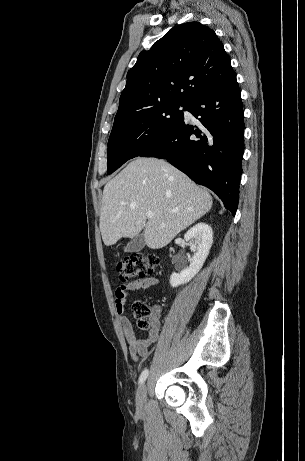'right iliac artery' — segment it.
Masks as SVG:
<instances>
[{"instance_id":"obj_1","label":"right iliac artery","mask_w":305,"mask_h":461,"mask_svg":"<svg viewBox=\"0 0 305 461\" xmlns=\"http://www.w3.org/2000/svg\"><path fill=\"white\" fill-rule=\"evenodd\" d=\"M147 377H148V369H145V370L141 373V375H140V377H139V383H140V384L144 383V381L147 379Z\"/></svg>"}]
</instances>
